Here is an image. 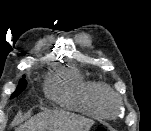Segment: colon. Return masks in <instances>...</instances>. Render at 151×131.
Returning a JSON list of instances; mask_svg holds the SVG:
<instances>
[{
  "label": "colon",
  "mask_w": 151,
  "mask_h": 131,
  "mask_svg": "<svg viewBox=\"0 0 151 131\" xmlns=\"http://www.w3.org/2000/svg\"><path fill=\"white\" fill-rule=\"evenodd\" d=\"M95 131H109L106 127H98Z\"/></svg>",
  "instance_id": "5ec220e1"
}]
</instances>
